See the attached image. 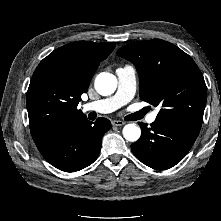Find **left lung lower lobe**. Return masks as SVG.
I'll list each match as a JSON object with an SVG mask.
<instances>
[{
	"label": "left lung lower lobe",
	"mask_w": 221,
	"mask_h": 221,
	"mask_svg": "<svg viewBox=\"0 0 221 221\" xmlns=\"http://www.w3.org/2000/svg\"><path fill=\"white\" fill-rule=\"evenodd\" d=\"M142 134L131 145L138 160L145 165L164 170L179 163L194 144L200 128L187 123L157 119L147 127L139 123Z\"/></svg>",
	"instance_id": "left-lung-lower-lobe-1"
}]
</instances>
